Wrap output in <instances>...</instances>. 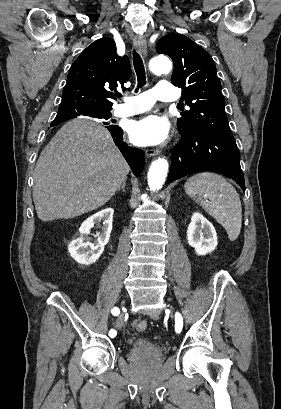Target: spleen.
Returning a JSON list of instances; mask_svg holds the SVG:
<instances>
[{
    "mask_svg": "<svg viewBox=\"0 0 281 409\" xmlns=\"http://www.w3.org/2000/svg\"><path fill=\"white\" fill-rule=\"evenodd\" d=\"M184 186L185 192L224 227L228 239L236 241L242 227L241 200L236 188L215 172H198L190 176Z\"/></svg>",
    "mask_w": 281,
    "mask_h": 409,
    "instance_id": "spleen-1",
    "label": "spleen"
}]
</instances>
